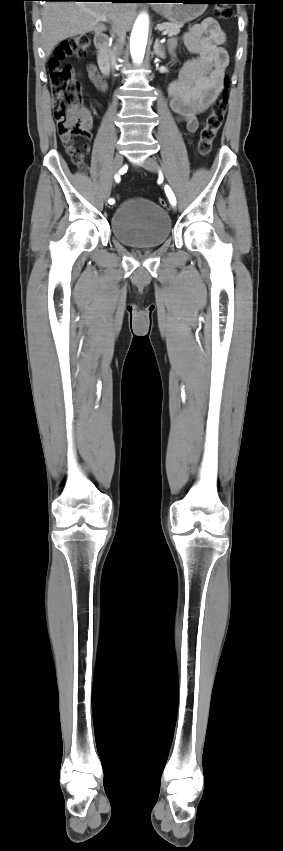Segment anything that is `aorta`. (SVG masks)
<instances>
[{"label": "aorta", "instance_id": "obj_1", "mask_svg": "<svg viewBox=\"0 0 283 851\" xmlns=\"http://www.w3.org/2000/svg\"><path fill=\"white\" fill-rule=\"evenodd\" d=\"M149 30V20L146 14H141L133 27L130 38V53L133 61L141 62L144 58Z\"/></svg>", "mask_w": 283, "mask_h": 851}]
</instances>
